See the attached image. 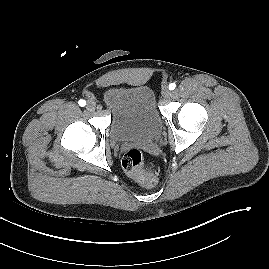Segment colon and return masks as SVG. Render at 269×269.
<instances>
[{"mask_svg":"<svg viewBox=\"0 0 269 269\" xmlns=\"http://www.w3.org/2000/svg\"><path fill=\"white\" fill-rule=\"evenodd\" d=\"M124 170L133 178L139 180L143 185L155 184V174L152 167L145 166V159L138 149L127 151L122 160Z\"/></svg>","mask_w":269,"mask_h":269,"instance_id":"1","label":"colon"}]
</instances>
